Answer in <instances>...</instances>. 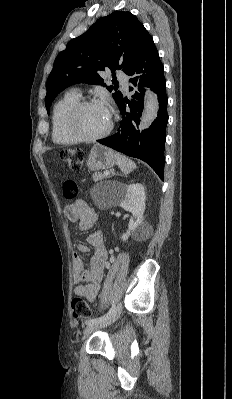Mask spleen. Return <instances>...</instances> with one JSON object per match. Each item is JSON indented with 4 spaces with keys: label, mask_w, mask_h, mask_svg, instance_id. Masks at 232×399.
Returning a JSON list of instances; mask_svg holds the SVG:
<instances>
[{
    "label": "spleen",
    "mask_w": 232,
    "mask_h": 399,
    "mask_svg": "<svg viewBox=\"0 0 232 399\" xmlns=\"http://www.w3.org/2000/svg\"><path fill=\"white\" fill-rule=\"evenodd\" d=\"M116 164L123 174H130V172H133L137 168L132 160H129L126 156H120V154H116Z\"/></svg>",
    "instance_id": "3e777b00"
}]
</instances>
